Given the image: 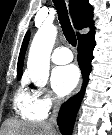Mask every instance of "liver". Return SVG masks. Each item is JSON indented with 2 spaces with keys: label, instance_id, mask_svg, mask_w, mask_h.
I'll return each mask as SVG.
<instances>
[{
  "label": "liver",
  "instance_id": "1",
  "mask_svg": "<svg viewBox=\"0 0 112 135\" xmlns=\"http://www.w3.org/2000/svg\"><path fill=\"white\" fill-rule=\"evenodd\" d=\"M3 135H55V129L50 122H24L8 119L4 122Z\"/></svg>",
  "mask_w": 112,
  "mask_h": 135
}]
</instances>
